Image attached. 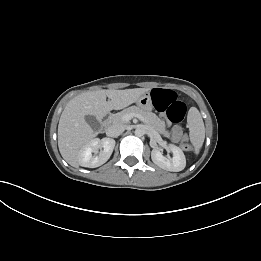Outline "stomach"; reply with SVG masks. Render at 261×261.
<instances>
[{"instance_id": "stomach-1", "label": "stomach", "mask_w": 261, "mask_h": 261, "mask_svg": "<svg viewBox=\"0 0 261 261\" xmlns=\"http://www.w3.org/2000/svg\"><path fill=\"white\" fill-rule=\"evenodd\" d=\"M137 106L144 110V111H150L153 107L152 99L149 93L143 94L137 101Z\"/></svg>"}]
</instances>
